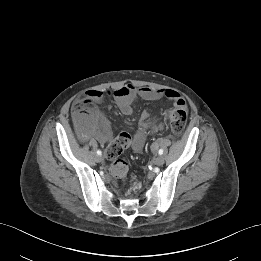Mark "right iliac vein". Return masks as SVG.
Returning <instances> with one entry per match:
<instances>
[{
    "mask_svg": "<svg viewBox=\"0 0 261 261\" xmlns=\"http://www.w3.org/2000/svg\"><path fill=\"white\" fill-rule=\"evenodd\" d=\"M102 160H103V157L101 155L96 156V162L100 163V162H102Z\"/></svg>",
    "mask_w": 261,
    "mask_h": 261,
    "instance_id": "obj_1",
    "label": "right iliac vein"
}]
</instances>
